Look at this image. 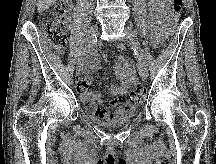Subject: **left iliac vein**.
Segmentation results:
<instances>
[{
	"instance_id": "obj_1",
	"label": "left iliac vein",
	"mask_w": 216,
	"mask_h": 164,
	"mask_svg": "<svg viewBox=\"0 0 216 164\" xmlns=\"http://www.w3.org/2000/svg\"><path fill=\"white\" fill-rule=\"evenodd\" d=\"M125 31L127 32V40L132 45V47L135 45L137 47V51L140 54L139 59L142 61L141 65H139V74L142 78H145L147 75V66L144 62V53L142 50V47L140 45V42L138 41L137 37L134 35L131 28L126 27Z\"/></svg>"
}]
</instances>
